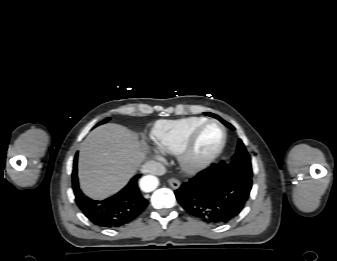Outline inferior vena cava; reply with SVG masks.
I'll return each instance as SVG.
<instances>
[{
  "label": "inferior vena cava",
  "mask_w": 337,
  "mask_h": 261,
  "mask_svg": "<svg viewBox=\"0 0 337 261\" xmlns=\"http://www.w3.org/2000/svg\"><path fill=\"white\" fill-rule=\"evenodd\" d=\"M165 167L158 162L148 161L142 165L141 172L142 173H152L162 175L165 173Z\"/></svg>",
  "instance_id": "inferior-vena-cava-1"
}]
</instances>
